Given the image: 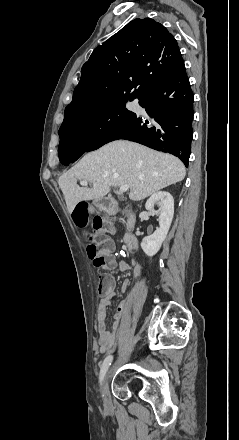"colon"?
<instances>
[{
    "mask_svg": "<svg viewBox=\"0 0 239 440\" xmlns=\"http://www.w3.org/2000/svg\"><path fill=\"white\" fill-rule=\"evenodd\" d=\"M74 220L80 227H85L88 222L87 208L85 204H79L74 211ZM114 229V220L110 217L97 215L92 222V230L85 231V239L88 243L87 254L94 266L102 271V279L99 284V292L105 293L110 284V273L116 267L112 256L113 244L108 237Z\"/></svg>",
    "mask_w": 239,
    "mask_h": 440,
    "instance_id": "5ec220e1",
    "label": "colon"
}]
</instances>
